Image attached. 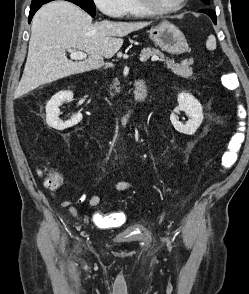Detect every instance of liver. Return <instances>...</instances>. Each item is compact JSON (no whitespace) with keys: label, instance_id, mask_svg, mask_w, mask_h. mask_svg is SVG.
<instances>
[{"label":"liver","instance_id":"liver-1","mask_svg":"<svg viewBox=\"0 0 249 294\" xmlns=\"http://www.w3.org/2000/svg\"><path fill=\"white\" fill-rule=\"evenodd\" d=\"M149 24L107 20L92 24V18L70 2L59 0L44 5L32 20L27 61L15 97L97 68L104 57H113L121 48V37ZM71 48L86 52L88 58L69 60L66 50Z\"/></svg>","mask_w":249,"mask_h":294}]
</instances>
